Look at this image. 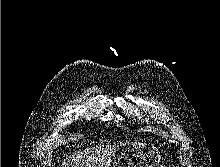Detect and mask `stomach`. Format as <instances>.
Masks as SVG:
<instances>
[{
    "label": "stomach",
    "mask_w": 220,
    "mask_h": 167,
    "mask_svg": "<svg viewBox=\"0 0 220 167\" xmlns=\"http://www.w3.org/2000/svg\"><path fill=\"white\" fill-rule=\"evenodd\" d=\"M160 160L153 144L126 143L116 148L108 167H157Z\"/></svg>",
    "instance_id": "obj_1"
}]
</instances>
